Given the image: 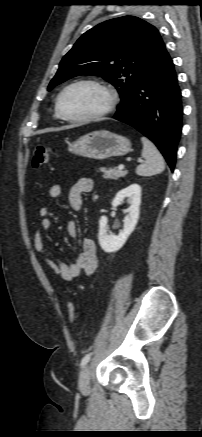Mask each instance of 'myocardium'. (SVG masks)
I'll return each instance as SVG.
<instances>
[{
  "instance_id": "1",
  "label": "myocardium",
  "mask_w": 202,
  "mask_h": 437,
  "mask_svg": "<svg viewBox=\"0 0 202 437\" xmlns=\"http://www.w3.org/2000/svg\"><path fill=\"white\" fill-rule=\"evenodd\" d=\"M79 85H92L100 89L106 95L107 98L104 107L95 113L84 115V116L70 117L66 115L62 109V105H61L62 99L67 91ZM117 103H118V95L117 92L112 87L94 79H79L67 85L59 93L56 100V111L59 117L65 121L72 122V123H87V122H93L103 119L105 116L110 114L115 109Z\"/></svg>"
}]
</instances>
